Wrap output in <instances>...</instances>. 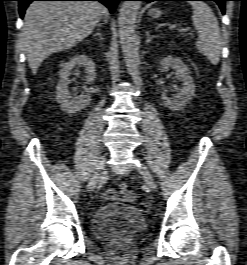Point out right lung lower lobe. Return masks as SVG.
I'll use <instances>...</instances> for the list:
<instances>
[{"label": "right lung lower lobe", "instance_id": "right-lung-lower-lobe-1", "mask_svg": "<svg viewBox=\"0 0 247 265\" xmlns=\"http://www.w3.org/2000/svg\"><path fill=\"white\" fill-rule=\"evenodd\" d=\"M19 1V13L21 18L24 16L25 10L28 5L33 1H99L107 6L111 13L115 11V8L119 1L123 0H17Z\"/></svg>", "mask_w": 247, "mask_h": 265}]
</instances>
